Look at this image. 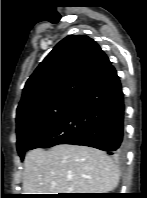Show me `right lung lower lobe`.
I'll return each mask as SVG.
<instances>
[{"instance_id":"right-lung-lower-lobe-1","label":"right lung lower lobe","mask_w":147,"mask_h":198,"mask_svg":"<svg viewBox=\"0 0 147 198\" xmlns=\"http://www.w3.org/2000/svg\"><path fill=\"white\" fill-rule=\"evenodd\" d=\"M124 109L121 83L111 66L31 149L58 144L84 145L121 159L124 156Z\"/></svg>"}]
</instances>
